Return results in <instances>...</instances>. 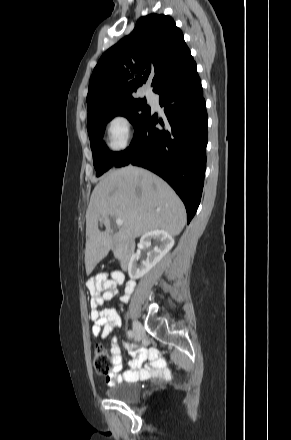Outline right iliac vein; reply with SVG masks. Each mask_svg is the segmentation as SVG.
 Returning <instances> with one entry per match:
<instances>
[{"mask_svg": "<svg viewBox=\"0 0 291 440\" xmlns=\"http://www.w3.org/2000/svg\"><path fill=\"white\" fill-rule=\"evenodd\" d=\"M134 336L136 341H140L143 339V328L138 321H134L133 323Z\"/></svg>", "mask_w": 291, "mask_h": 440, "instance_id": "1", "label": "right iliac vein"}]
</instances>
